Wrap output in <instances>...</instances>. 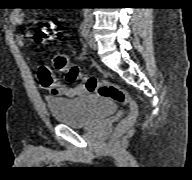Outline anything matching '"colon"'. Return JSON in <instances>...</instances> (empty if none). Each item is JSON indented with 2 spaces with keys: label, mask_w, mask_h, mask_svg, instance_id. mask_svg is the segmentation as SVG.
I'll return each mask as SVG.
<instances>
[{
  "label": "colon",
  "mask_w": 192,
  "mask_h": 180,
  "mask_svg": "<svg viewBox=\"0 0 192 180\" xmlns=\"http://www.w3.org/2000/svg\"><path fill=\"white\" fill-rule=\"evenodd\" d=\"M62 36V32L54 23H47L38 30L34 35V39L38 43H46L61 39ZM53 63L55 69L63 74L69 83L81 82L89 93H95L128 106L129 113L120 123V131L127 130L133 125L137 117V105L124 88L113 82L83 74L82 70L72 63L66 55L57 54L53 59Z\"/></svg>",
  "instance_id": "5ec220e1"
}]
</instances>
